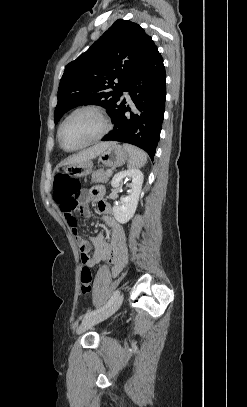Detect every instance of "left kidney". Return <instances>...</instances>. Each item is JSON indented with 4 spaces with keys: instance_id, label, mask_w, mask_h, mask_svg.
I'll list each match as a JSON object with an SVG mask.
<instances>
[{
    "instance_id": "left-kidney-1",
    "label": "left kidney",
    "mask_w": 247,
    "mask_h": 407,
    "mask_svg": "<svg viewBox=\"0 0 247 407\" xmlns=\"http://www.w3.org/2000/svg\"><path fill=\"white\" fill-rule=\"evenodd\" d=\"M125 178L131 180V183L128 185L130 187L128 195L121 198L119 206L115 205L113 207L114 217L121 224L127 223L136 211L144 176L139 169H129L119 172L114 175L111 181L112 187H118L120 182Z\"/></svg>"
}]
</instances>
